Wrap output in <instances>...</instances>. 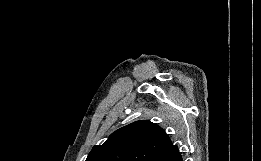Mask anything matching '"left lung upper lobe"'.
I'll list each match as a JSON object with an SVG mask.
<instances>
[{
	"label": "left lung upper lobe",
	"instance_id": "1",
	"mask_svg": "<svg viewBox=\"0 0 261 161\" xmlns=\"http://www.w3.org/2000/svg\"><path fill=\"white\" fill-rule=\"evenodd\" d=\"M171 144L161 127L141 120L118 129L103 145H95L86 161H152Z\"/></svg>",
	"mask_w": 261,
	"mask_h": 161
}]
</instances>
